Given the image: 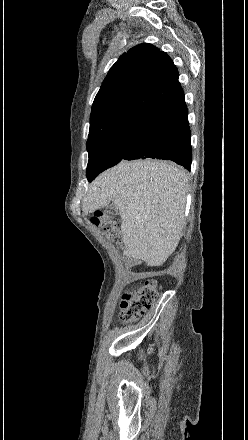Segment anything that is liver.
Segmentation results:
<instances>
[{"instance_id":"liver-1","label":"liver","mask_w":248,"mask_h":440,"mask_svg":"<svg viewBox=\"0 0 248 440\" xmlns=\"http://www.w3.org/2000/svg\"><path fill=\"white\" fill-rule=\"evenodd\" d=\"M188 178L168 161H121L101 173L82 202L85 215L111 201L122 220L124 254L161 266L176 249L184 227Z\"/></svg>"}]
</instances>
